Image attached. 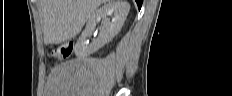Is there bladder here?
I'll list each match as a JSON object with an SVG mask.
<instances>
[{
  "instance_id": "1",
  "label": "bladder",
  "mask_w": 232,
  "mask_h": 96,
  "mask_svg": "<svg viewBox=\"0 0 232 96\" xmlns=\"http://www.w3.org/2000/svg\"><path fill=\"white\" fill-rule=\"evenodd\" d=\"M47 88L50 89V85L49 84L47 85ZM50 92H53V91H50Z\"/></svg>"
}]
</instances>
